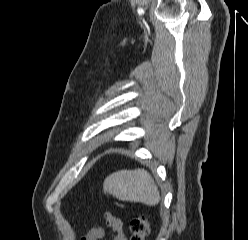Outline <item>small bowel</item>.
Listing matches in <instances>:
<instances>
[{
    "label": "small bowel",
    "mask_w": 248,
    "mask_h": 240,
    "mask_svg": "<svg viewBox=\"0 0 248 240\" xmlns=\"http://www.w3.org/2000/svg\"><path fill=\"white\" fill-rule=\"evenodd\" d=\"M104 219L113 231L112 240H127L123 222L110 212L104 213ZM104 237L101 227L91 228L80 240H100Z\"/></svg>",
    "instance_id": "small-bowel-1"
}]
</instances>
